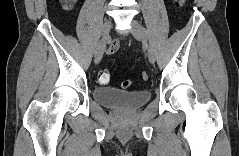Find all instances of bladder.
<instances>
[{
    "label": "bladder",
    "instance_id": "bladder-1",
    "mask_svg": "<svg viewBox=\"0 0 239 156\" xmlns=\"http://www.w3.org/2000/svg\"><path fill=\"white\" fill-rule=\"evenodd\" d=\"M94 99L97 103L111 107L134 110L146 104L151 93L147 89L138 91H123L114 87H96L93 91Z\"/></svg>",
    "mask_w": 239,
    "mask_h": 156
}]
</instances>
